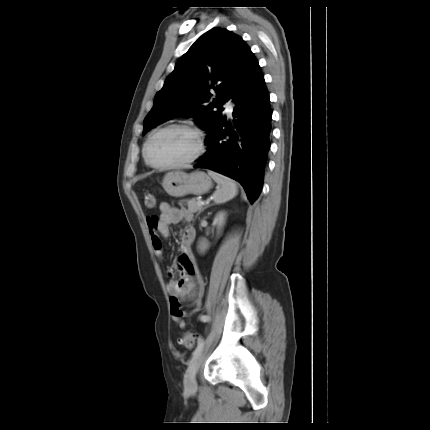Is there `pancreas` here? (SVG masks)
Returning <instances> with one entry per match:
<instances>
[{
	"instance_id": "cf45deb5",
	"label": "pancreas",
	"mask_w": 430,
	"mask_h": 430,
	"mask_svg": "<svg viewBox=\"0 0 430 430\" xmlns=\"http://www.w3.org/2000/svg\"><path fill=\"white\" fill-rule=\"evenodd\" d=\"M188 206L189 211L191 212H201L204 208L202 206L197 205V200L195 198L185 200Z\"/></svg>"
}]
</instances>
